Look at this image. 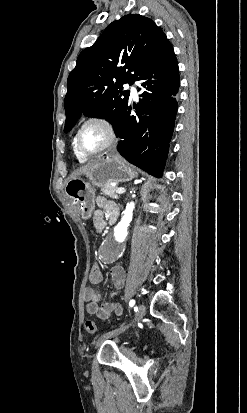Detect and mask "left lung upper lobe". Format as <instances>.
<instances>
[{
	"instance_id": "obj_1",
	"label": "left lung upper lobe",
	"mask_w": 247,
	"mask_h": 413,
	"mask_svg": "<svg viewBox=\"0 0 247 413\" xmlns=\"http://www.w3.org/2000/svg\"><path fill=\"white\" fill-rule=\"evenodd\" d=\"M167 47H172L153 20L128 14L112 22L97 41L83 50L67 80L64 132H69L82 114L105 118L115 131L128 108L130 91H121L134 81Z\"/></svg>"
}]
</instances>
